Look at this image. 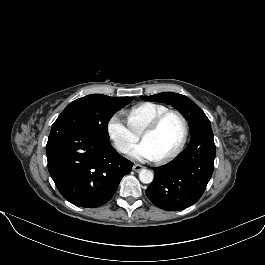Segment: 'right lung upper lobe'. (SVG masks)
Returning <instances> with one entry per match:
<instances>
[{
  "label": "right lung upper lobe",
  "instance_id": "cb5924a9",
  "mask_svg": "<svg viewBox=\"0 0 265 265\" xmlns=\"http://www.w3.org/2000/svg\"><path fill=\"white\" fill-rule=\"evenodd\" d=\"M101 95V94H99ZM103 98L105 99H108V100H114V101H120V100H123L125 97H109V96H106V95H101Z\"/></svg>",
  "mask_w": 265,
  "mask_h": 265
}]
</instances>
